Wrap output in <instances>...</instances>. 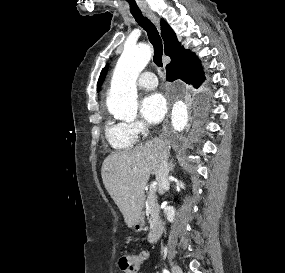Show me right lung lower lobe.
Here are the masks:
<instances>
[{"mask_svg":"<svg viewBox=\"0 0 285 273\" xmlns=\"http://www.w3.org/2000/svg\"><path fill=\"white\" fill-rule=\"evenodd\" d=\"M204 78L201 62L194 54L178 64L166 66V79L170 82L181 79L198 88Z\"/></svg>","mask_w":285,"mask_h":273,"instance_id":"obj_1","label":"right lung lower lobe"}]
</instances>
